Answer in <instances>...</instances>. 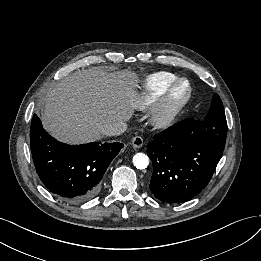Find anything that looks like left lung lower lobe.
<instances>
[{
    "label": "left lung lower lobe",
    "mask_w": 261,
    "mask_h": 261,
    "mask_svg": "<svg viewBox=\"0 0 261 261\" xmlns=\"http://www.w3.org/2000/svg\"><path fill=\"white\" fill-rule=\"evenodd\" d=\"M202 121L188 118L147 145L153 164L149 188L163 203L191 200L209 183L223 149L204 140Z\"/></svg>",
    "instance_id": "0a47b994"
}]
</instances>
